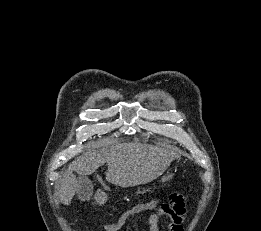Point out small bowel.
Returning a JSON list of instances; mask_svg holds the SVG:
<instances>
[{
    "mask_svg": "<svg viewBox=\"0 0 261 231\" xmlns=\"http://www.w3.org/2000/svg\"><path fill=\"white\" fill-rule=\"evenodd\" d=\"M102 201V197L98 194L88 200L91 207H96ZM147 204H138L128 212L121 215L113 224L105 225V231H119L127 222L137 216H145L149 231H160V222L165 220L169 231H183V218L174 214L167 205H159L154 207L155 210L147 211Z\"/></svg>",
    "mask_w": 261,
    "mask_h": 231,
    "instance_id": "c3829d8e",
    "label": "small bowel"
}]
</instances>
